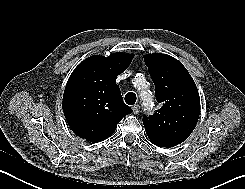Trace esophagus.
Here are the masks:
<instances>
[{
	"instance_id": "1",
	"label": "esophagus",
	"mask_w": 245,
	"mask_h": 189,
	"mask_svg": "<svg viewBox=\"0 0 245 189\" xmlns=\"http://www.w3.org/2000/svg\"><path fill=\"white\" fill-rule=\"evenodd\" d=\"M134 114H138L140 111V106L139 105H134L132 107Z\"/></svg>"
}]
</instances>
